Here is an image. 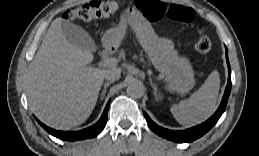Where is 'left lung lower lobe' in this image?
Returning a JSON list of instances; mask_svg holds the SVG:
<instances>
[{
    "mask_svg": "<svg viewBox=\"0 0 259 156\" xmlns=\"http://www.w3.org/2000/svg\"><path fill=\"white\" fill-rule=\"evenodd\" d=\"M225 49H226V59H227V65H228V82H227V86H226L221 104H220L219 108L217 109V111L215 112V114L213 116H211L206 122H204L198 126H195L193 128L186 129L183 131H173V130H168V129L158 126L150 119L148 114L146 112H144V116L146 118L148 125L156 134H158L159 136L164 137L168 140L179 142V143L192 142V141L200 138L201 136H203L206 132H208L217 123L220 116L225 111L227 101H228L230 91H231V69H230V64H229L228 56H227V48H225Z\"/></svg>",
    "mask_w": 259,
    "mask_h": 156,
    "instance_id": "left-lung-lower-lobe-1",
    "label": "left lung lower lobe"
}]
</instances>
